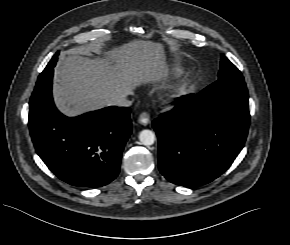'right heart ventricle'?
<instances>
[{
  "mask_svg": "<svg viewBox=\"0 0 290 245\" xmlns=\"http://www.w3.org/2000/svg\"><path fill=\"white\" fill-rule=\"evenodd\" d=\"M181 72V69L178 66L171 65V66H166L162 68L159 72L158 75L163 76L167 74H179Z\"/></svg>",
  "mask_w": 290,
  "mask_h": 245,
  "instance_id": "1",
  "label": "right heart ventricle"
}]
</instances>
